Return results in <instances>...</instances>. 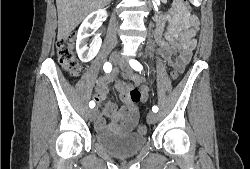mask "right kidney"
I'll use <instances>...</instances> for the list:
<instances>
[{
  "label": "right kidney",
  "mask_w": 250,
  "mask_h": 169,
  "mask_svg": "<svg viewBox=\"0 0 250 169\" xmlns=\"http://www.w3.org/2000/svg\"><path fill=\"white\" fill-rule=\"evenodd\" d=\"M94 14H96L95 18H93ZM106 14L107 10H105V8H99V10L90 12L82 24H80L76 40V50L82 62H89V60H92L97 52H99L102 42L100 36L96 34L89 46L87 44V38L91 36V34H94L91 30H96V28L100 26L99 20H101L102 16H106Z\"/></svg>",
  "instance_id": "1"
}]
</instances>
